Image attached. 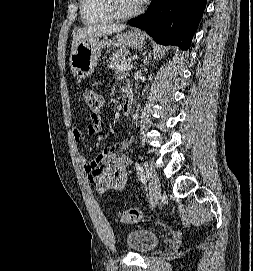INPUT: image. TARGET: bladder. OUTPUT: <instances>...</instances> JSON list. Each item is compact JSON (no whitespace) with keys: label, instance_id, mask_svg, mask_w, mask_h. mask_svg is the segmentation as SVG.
Wrapping results in <instances>:
<instances>
[{"label":"bladder","instance_id":"obj_1","mask_svg":"<svg viewBox=\"0 0 253 271\" xmlns=\"http://www.w3.org/2000/svg\"><path fill=\"white\" fill-rule=\"evenodd\" d=\"M158 234L143 228H135L126 235L125 242L127 248L136 254H147L156 249L160 244Z\"/></svg>","mask_w":253,"mask_h":271}]
</instances>
